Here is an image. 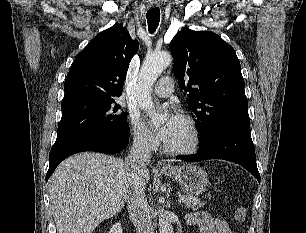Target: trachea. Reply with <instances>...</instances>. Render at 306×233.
Segmentation results:
<instances>
[{
    "label": "trachea",
    "mask_w": 306,
    "mask_h": 233,
    "mask_svg": "<svg viewBox=\"0 0 306 233\" xmlns=\"http://www.w3.org/2000/svg\"><path fill=\"white\" fill-rule=\"evenodd\" d=\"M146 17L148 22V30L150 33H154L160 21V9L158 7L149 9L147 11Z\"/></svg>",
    "instance_id": "1"
}]
</instances>
